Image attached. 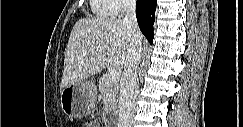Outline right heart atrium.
Masks as SVG:
<instances>
[{"label": "right heart atrium", "mask_w": 243, "mask_h": 127, "mask_svg": "<svg viewBox=\"0 0 243 127\" xmlns=\"http://www.w3.org/2000/svg\"><path fill=\"white\" fill-rule=\"evenodd\" d=\"M112 3L111 14L113 16L123 15L128 12L133 6V0H109Z\"/></svg>", "instance_id": "1"}]
</instances>
